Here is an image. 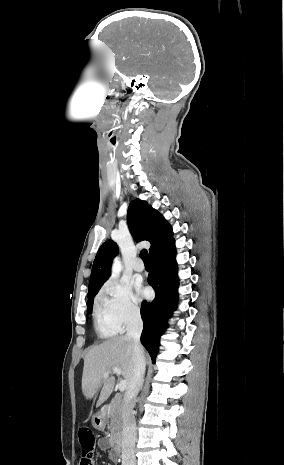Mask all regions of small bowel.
Masks as SVG:
<instances>
[{
	"label": "small bowel",
	"mask_w": 284,
	"mask_h": 465,
	"mask_svg": "<svg viewBox=\"0 0 284 465\" xmlns=\"http://www.w3.org/2000/svg\"><path fill=\"white\" fill-rule=\"evenodd\" d=\"M98 446L101 450L107 452V455L111 460L116 461L119 458L118 451L116 449L111 448L110 441L107 438H100L98 440Z\"/></svg>",
	"instance_id": "c3829d8e"
}]
</instances>
